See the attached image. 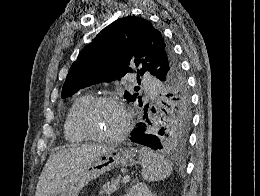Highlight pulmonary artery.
Here are the masks:
<instances>
[{
  "mask_svg": "<svg viewBox=\"0 0 260 196\" xmlns=\"http://www.w3.org/2000/svg\"><path fill=\"white\" fill-rule=\"evenodd\" d=\"M142 80H143V84H154V79H149L148 76H143Z\"/></svg>",
  "mask_w": 260,
  "mask_h": 196,
  "instance_id": "e3ab8cb5",
  "label": "pulmonary artery"
}]
</instances>
